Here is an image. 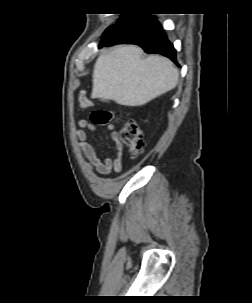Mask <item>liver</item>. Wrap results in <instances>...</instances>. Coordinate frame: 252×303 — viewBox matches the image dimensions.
Listing matches in <instances>:
<instances>
[{
	"mask_svg": "<svg viewBox=\"0 0 252 303\" xmlns=\"http://www.w3.org/2000/svg\"><path fill=\"white\" fill-rule=\"evenodd\" d=\"M142 49L122 45L97 59L92 97L141 106L176 87L179 71L162 56L142 58Z\"/></svg>",
	"mask_w": 252,
	"mask_h": 303,
	"instance_id": "obj_1",
	"label": "liver"
}]
</instances>
